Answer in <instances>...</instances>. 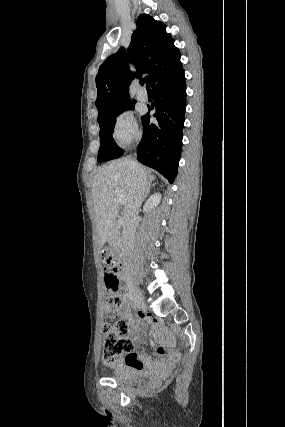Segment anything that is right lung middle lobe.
I'll use <instances>...</instances> for the list:
<instances>
[{
	"label": "right lung middle lobe",
	"mask_w": 285,
	"mask_h": 427,
	"mask_svg": "<svg viewBox=\"0 0 285 427\" xmlns=\"http://www.w3.org/2000/svg\"><path fill=\"white\" fill-rule=\"evenodd\" d=\"M133 109V105L127 106L124 109L109 116L106 120L99 122L100 125V149L98 152V162L112 160L123 155L124 151L115 143L112 132L115 126L116 117L125 110Z\"/></svg>",
	"instance_id": "1"
}]
</instances>
